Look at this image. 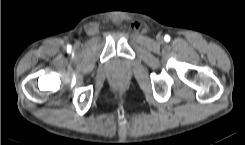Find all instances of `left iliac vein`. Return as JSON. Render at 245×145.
Listing matches in <instances>:
<instances>
[{"mask_svg": "<svg viewBox=\"0 0 245 145\" xmlns=\"http://www.w3.org/2000/svg\"><path fill=\"white\" fill-rule=\"evenodd\" d=\"M159 40H161V41H162V40H163V38H162V37H160V38H159Z\"/></svg>", "mask_w": 245, "mask_h": 145, "instance_id": "obj_1", "label": "left iliac vein"}]
</instances>
